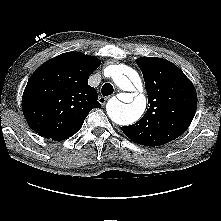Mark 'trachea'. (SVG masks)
Segmentation results:
<instances>
[{"label":"trachea","instance_id":"1","mask_svg":"<svg viewBox=\"0 0 221 221\" xmlns=\"http://www.w3.org/2000/svg\"><path fill=\"white\" fill-rule=\"evenodd\" d=\"M113 86L110 83H105L101 89V93L103 96H108L113 94Z\"/></svg>","mask_w":221,"mask_h":221}]
</instances>
